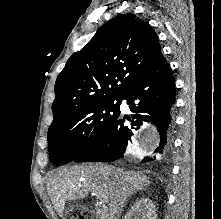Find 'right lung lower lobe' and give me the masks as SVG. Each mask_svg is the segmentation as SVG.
<instances>
[{
	"instance_id": "right-lung-lower-lobe-1",
	"label": "right lung lower lobe",
	"mask_w": 221,
	"mask_h": 219,
	"mask_svg": "<svg viewBox=\"0 0 221 219\" xmlns=\"http://www.w3.org/2000/svg\"><path fill=\"white\" fill-rule=\"evenodd\" d=\"M134 120L131 127L124 125L126 116L113 122L104 136L74 162H113L123 158L135 131L142 128L151 147L142 162L165 161L172 149L175 81L168 62L161 56L137 81L123 93ZM129 143V146H130Z\"/></svg>"
}]
</instances>
